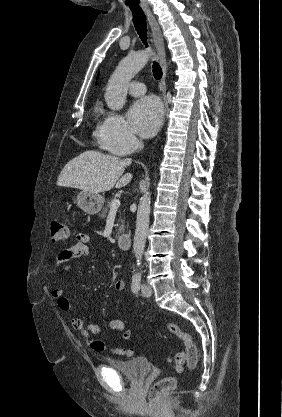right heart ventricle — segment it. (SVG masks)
I'll list each match as a JSON object with an SVG mask.
<instances>
[{"mask_svg":"<svg viewBox=\"0 0 282 417\" xmlns=\"http://www.w3.org/2000/svg\"><path fill=\"white\" fill-rule=\"evenodd\" d=\"M96 114L98 118L96 132L99 136L102 137L103 129L108 116H106L105 112L100 107L96 108Z\"/></svg>","mask_w":282,"mask_h":417,"instance_id":"obj_1","label":"right heart ventricle"}]
</instances>
